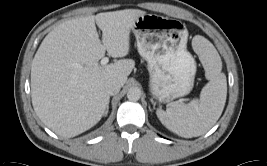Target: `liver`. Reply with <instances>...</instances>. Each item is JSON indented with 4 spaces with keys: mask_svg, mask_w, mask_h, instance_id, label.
Instances as JSON below:
<instances>
[{
    "mask_svg": "<svg viewBox=\"0 0 267 166\" xmlns=\"http://www.w3.org/2000/svg\"><path fill=\"white\" fill-rule=\"evenodd\" d=\"M145 14L139 9L104 12L67 20L48 33L32 61L31 97L49 129L69 138L101 120L109 101L106 82L116 80L123 86L135 61L120 59L102 66L99 60L106 51L113 58L128 55L130 31Z\"/></svg>",
    "mask_w": 267,
    "mask_h": 166,
    "instance_id": "obj_1",
    "label": "liver"
}]
</instances>
